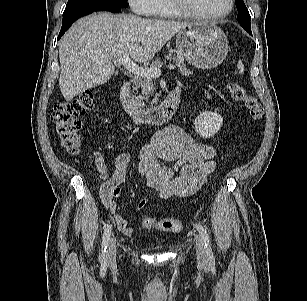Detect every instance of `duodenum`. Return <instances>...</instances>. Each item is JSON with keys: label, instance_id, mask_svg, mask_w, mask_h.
Instances as JSON below:
<instances>
[{"label": "duodenum", "instance_id": "410a0bca", "mask_svg": "<svg viewBox=\"0 0 307 301\" xmlns=\"http://www.w3.org/2000/svg\"><path fill=\"white\" fill-rule=\"evenodd\" d=\"M181 96V90L170 91L163 102L152 108L139 105L131 97V83L126 81L120 89V103L126 113L136 124L159 125L169 120L176 112Z\"/></svg>", "mask_w": 307, "mask_h": 301}]
</instances>
